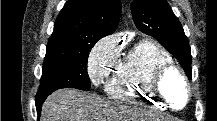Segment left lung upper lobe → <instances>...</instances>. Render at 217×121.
<instances>
[{
  "instance_id": "obj_1",
  "label": "left lung upper lobe",
  "mask_w": 217,
  "mask_h": 121,
  "mask_svg": "<svg viewBox=\"0 0 217 121\" xmlns=\"http://www.w3.org/2000/svg\"><path fill=\"white\" fill-rule=\"evenodd\" d=\"M131 12L136 27L156 38L178 59L192 78L191 51L183 27L166 0H133Z\"/></svg>"
}]
</instances>
